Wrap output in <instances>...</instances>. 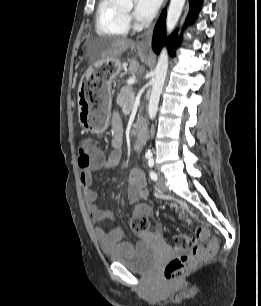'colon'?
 <instances>
[{"label": "colon", "mask_w": 261, "mask_h": 306, "mask_svg": "<svg viewBox=\"0 0 261 306\" xmlns=\"http://www.w3.org/2000/svg\"><path fill=\"white\" fill-rule=\"evenodd\" d=\"M103 160L102 151L93 146L89 139L83 138L78 143V165L86 169L99 164ZM147 192L141 193L145 197ZM130 228L141 233L151 228V224L142 214L133 215L129 219ZM198 237L208 239L206 243L196 244L195 239L188 233H180L175 238V247L183 253L170 259L163 268L166 282H173L185 275L188 271L205 263L218 247V241L210 238L209 230L205 227L197 229Z\"/></svg>", "instance_id": "obj_1"}]
</instances>
